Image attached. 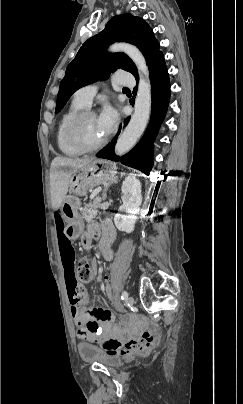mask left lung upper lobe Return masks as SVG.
<instances>
[{
	"instance_id": "obj_1",
	"label": "left lung upper lobe",
	"mask_w": 243,
	"mask_h": 404,
	"mask_svg": "<svg viewBox=\"0 0 243 404\" xmlns=\"http://www.w3.org/2000/svg\"><path fill=\"white\" fill-rule=\"evenodd\" d=\"M117 41L136 45L143 53L148 66L162 54L152 29L141 18L131 14L114 16L99 34L89 38L68 65L61 81L55 113L61 111L71 95L79 88L106 79L111 72L123 69L138 77L133 61L124 53L107 52L106 48Z\"/></svg>"
}]
</instances>
